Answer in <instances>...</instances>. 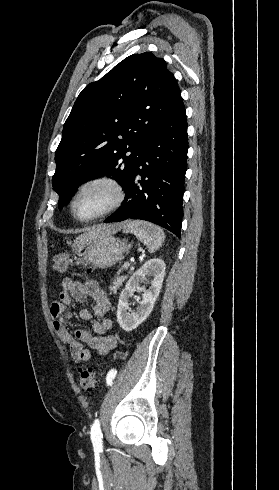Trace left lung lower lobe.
<instances>
[{"instance_id":"0a47b994","label":"left lung lower lobe","mask_w":279,"mask_h":490,"mask_svg":"<svg viewBox=\"0 0 279 490\" xmlns=\"http://www.w3.org/2000/svg\"><path fill=\"white\" fill-rule=\"evenodd\" d=\"M187 150L186 114L180 101L150 133L129 177L123 205L104 222L146 220L180 238Z\"/></svg>"}]
</instances>
